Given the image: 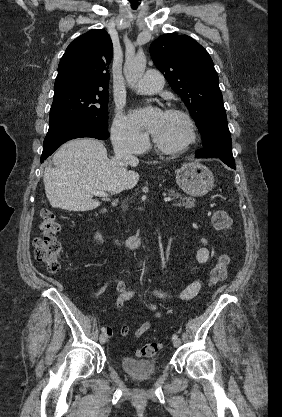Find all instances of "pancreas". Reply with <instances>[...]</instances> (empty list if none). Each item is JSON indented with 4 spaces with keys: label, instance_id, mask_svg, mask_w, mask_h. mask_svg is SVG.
Segmentation results:
<instances>
[{
    "label": "pancreas",
    "instance_id": "1",
    "mask_svg": "<svg viewBox=\"0 0 282 417\" xmlns=\"http://www.w3.org/2000/svg\"><path fill=\"white\" fill-rule=\"evenodd\" d=\"M172 198H180L178 202H175V206H185V209H192V206H195V198L192 196H182L180 192H175V190H168Z\"/></svg>",
    "mask_w": 282,
    "mask_h": 417
}]
</instances>
